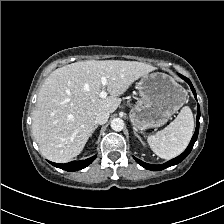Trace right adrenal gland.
<instances>
[{
  "label": "right adrenal gland",
  "mask_w": 224,
  "mask_h": 224,
  "mask_svg": "<svg viewBox=\"0 0 224 224\" xmlns=\"http://www.w3.org/2000/svg\"><path fill=\"white\" fill-rule=\"evenodd\" d=\"M98 128V125L95 126V130Z\"/></svg>",
  "instance_id": "right-adrenal-gland-1"
}]
</instances>
